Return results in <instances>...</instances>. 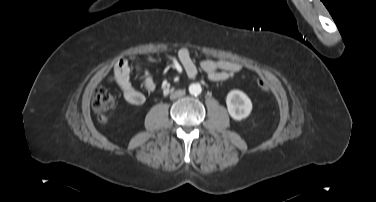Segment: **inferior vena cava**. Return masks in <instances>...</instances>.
Masks as SVG:
<instances>
[{
	"label": "inferior vena cava",
	"mask_w": 376,
	"mask_h": 202,
	"mask_svg": "<svg viewBox=\"0 0 376 202\" xmlns=\"http://www.w3.org/2000/svg\"><path fill=\"white\" fill-rule=\"evenodd\" d=\"M183 95H185V91H183V90H178V91H176L175 93H173V94L171 95V99H176V98H179V97H181V96H183Z\"/></svg>",
	"instance_id": "1"
}]
</instances>
